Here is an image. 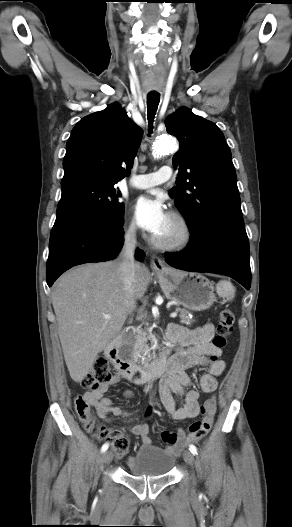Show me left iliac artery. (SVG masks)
<instances>
[{
    "instance_id": "obj_1",
    "label": "left iliac artery",
    "mask_w": 292,
    "mask_h": 527,
    "mask_svg": "<svg viewBox=\"0 0 292 527\" xmlns=\"http://www.w3.org/2000/svg\"><path fill=\"white\" fill-rule=\"evenodd\" d=\"M189 450L192 454H197V448L194 445H189Z\"/></svg>"
}]
</instances>
